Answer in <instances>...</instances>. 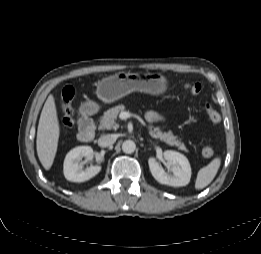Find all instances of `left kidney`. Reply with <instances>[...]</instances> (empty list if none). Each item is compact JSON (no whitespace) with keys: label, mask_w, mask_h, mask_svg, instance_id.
I'll list each match as a JSON object with an SVG mask.
<instances>
[{"label":"left kidney","mask_w":261,"mask_h":254,"mask_svg":"<svg viewBox=\"0 0 261 254\" xmlns=\"http://www.w3.org/2000/svg\"><path fill=\"white\" fill-rule=\"evenodd\" d=\"M164 160L171 166L172 174L164 171L155 158L148 159L149 169L152 176L161 184L180 187L190 182L191 167L188 159L181 153L167 150L163 153Z\"/></svg>","instance_id":"1"}]
</instances>
